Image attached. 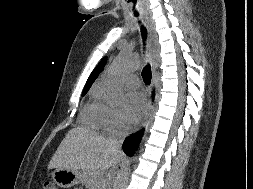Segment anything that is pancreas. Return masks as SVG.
Instances as JSON below:
<instances>
[{
  "label": "pancreas",
  "mask_w": 253,
  "mask_h": 189,
  "mask_svg": "<svg viewBox=\"0 0 253 189\" xmlns=\"http://www.w3.org/2000/svg\"><path fill=\"white\" fill-rule=\"evenodd\" d=\"M82 182L89 189H104L105 187L103 175L95 169H82Z\"/></svg>",
  "instance_id": "pancreas-1"
}]
</instances>
